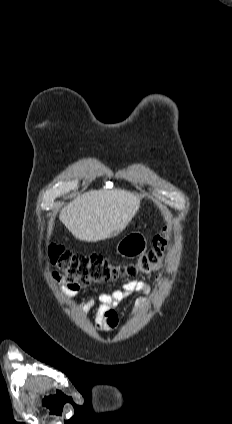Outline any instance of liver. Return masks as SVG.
I'll return each instance as SVG.
<instances>
[{
  "instance_id": "1",
  "label": "liver",
  "mask_w": 232,
  "mask_h": 424,
  "mask_svg": "<svg viewBox=\"0 0 232 424\" xmlns=\"http://www.w3.org/2000/svg\"><path fill=\"white\" fill-rule=\"evenodd\" d=\"M140 206V197L125 190L88 191L62 209L60 221L72 235L87 242L110 237L126 228Z\"/></svg>"
}]
</instances>
